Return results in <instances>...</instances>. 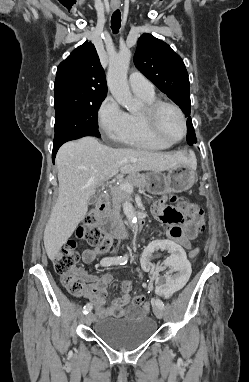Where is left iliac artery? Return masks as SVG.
<instances>
[{
    "label": "left iliac artery",
    "mask_w": 249,
    "mask_h": 382,
    "mask_svg": "<svg viewBox=\"0 0 249 382\" xmlns=\"http://www.w3.org/2000/svg\"><path fill=\"white\" fill-rule=\"evenodd\" d=\"M155 304L160 307L161 309H164L165 306H164V303L160 300V299H156L155 300Z\"/></svg>",
    "instance_id": "left-iliac-artery-1"
}]
</instances>
